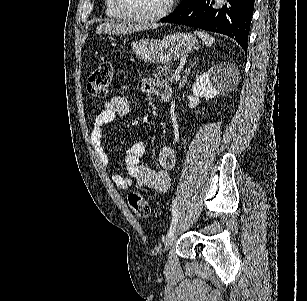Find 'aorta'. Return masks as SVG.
I'll use <instances>...</instances> for the list:
<instances>
[{"label":"aorta","instance_id":"1","mask_svg":"<svg viewBox=\"0 0 307 301\" xmlns=\"http://www.w3.org/2000/svg\"><path fill=\"white\" fill-rule=\"evenodd\" d=\"M225 0H215V6H223Z\"/></svg>","mask_w":307,"mask_h":301}]
</instances>
